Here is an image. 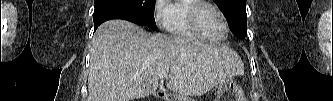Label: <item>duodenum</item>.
Here are the masks:
<instances>
[{"instance_id": "obj_1", "label": "duodenum", "mask_w": 333, "mask_h": 101, "mask_svg": "<svg viewBox=\"0 0 333 101\" xmlns=\"http://www.w3.org/2000/svg\"><path fill=\"white\" fill-rule=\"evenodd\" d=\"M157 97L160 98V99H163V100H168L169 99V97L165 96L163 93H158Z\"/></svg>"}]
</instances>
